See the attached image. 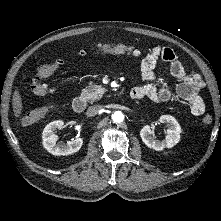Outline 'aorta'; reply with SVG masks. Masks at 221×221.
Wrapping results in <instances>:
<instances>
[{
	"mask_svg": "<svg viewBox=\"0 0 221 221\" xmlns=\"http://www.w3.org/2000/svg\"><path fill=\"white\" fill-rule=\"evenodd\" d=\"M112 120L115 123H121L124 120V114L121 111H115L112 114Z\"/></svg>",
	"mask_w": 221,
	"mask_h": 221,
	"instance_id": "aorta-1",
	"label": "aorta"
}]
</instances>
